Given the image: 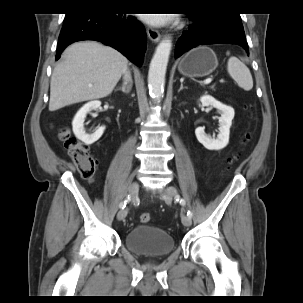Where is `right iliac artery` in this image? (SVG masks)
<instances>
[{"mask_svg": "<svg viewBox=\"0 0 303 303\" xmlns=\"http://www.w3.org/2000/svg\"><path fill=\"white\" fill-rule=\"evenodd\" d=\"M130 200H131V196L128 195V196L126 197V199H125L123 202L120 203L119 207H120L121 209H124V208L126 207V204H127Z\"/></svg>", "mask_w": 303, "mask_h": 303, "instance_id": "1", "label": "right iliac artery"}]
</instances>
